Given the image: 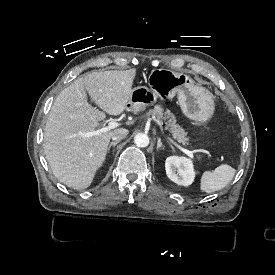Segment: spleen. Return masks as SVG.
<instances>
[{
  "instance_id": "3e777b00",
  "label": "spleen",
  "mask_w": 275,
  "mask_h": 275,
  "mask_svg": "<svg viewBox=\"0 0 275 275\" xmlns=\"http://www.w3.org/2000/svg\"><path fill=\"white\" fill-rule=\"evenodd\" d=\"M235 175V169L222 164L213 171H206L201 177V190L212 193L227 186Z\"/></svg>"
}]
</instances>
